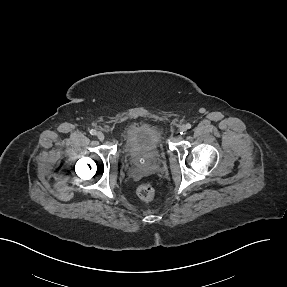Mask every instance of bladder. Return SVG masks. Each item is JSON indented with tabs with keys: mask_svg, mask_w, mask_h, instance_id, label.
Returning <instances> with one entry per match:
<instances>
[{
	"mask_svg": "<svg viewBox=\"0 0 287 287\" xmlns=\"http://www.w3.org/2000/svg\"><path fill=\"white\" fill-rule=\"evenodd\" d=\"M161 134L152 126L146 124L130 127L122 140V154L131 160L153 159L162 149Z\"/></svg>",
	"mask_w": 287,
	"mask_h": 287,
	"instance_id": "31cf9c89",
	"label": "bladder"
}]
</instances>
